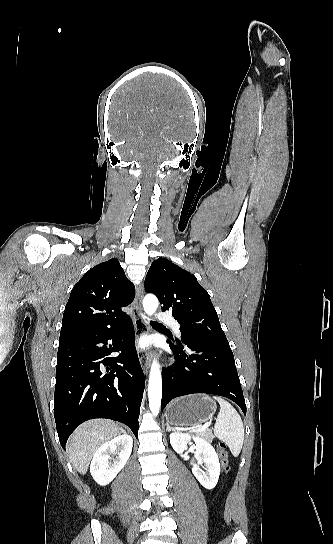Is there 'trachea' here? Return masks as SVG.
I'll return each mask as SVG.
<instances>
[{"label": "trachea", "mask_w": 333, "mask_h": 544, "mask_svg": "<svg viewBox=\"0 0 333 544\" xmlns=\"http://www.w3.org/2000/svg\"><path fill=\"white\" fill-rule=\"evenodd\" d=\"M150 323L153 324V325H156V326L164 327V325H162V324H160V323H158L156 321H151Z\"/></svg>", "instance_id": "obj_1"}]
</instances>
